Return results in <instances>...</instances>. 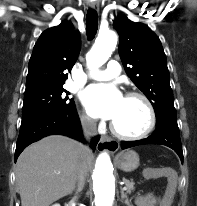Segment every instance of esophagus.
Listing matches in <instances>:
<instances>
[{"label": "esophagus", "instance_id": "34e87169", "mask_svg": "<svg viewBox=\"0 0 197 206\" xmlns=\"http://www.w3.org/2000/svg\"><path fill=\"white\" fill-rule=\"evenodd\" d=\"M89 6L95 10V11H99V3L98 2H92L89 4ZM97 148L99 150H103V151H108L110 153H114L119 149V142H117L114 139H111L108 136H101L100 138V142L97 145Z\"/></svg>", "mask_w": 197, "mask_h": 206}]
</instances>
